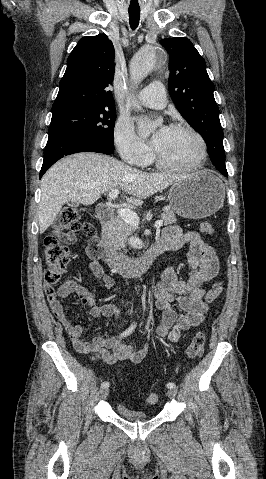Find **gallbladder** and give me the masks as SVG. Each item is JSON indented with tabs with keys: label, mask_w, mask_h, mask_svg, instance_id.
Returning a JSON list of instances; mask_svg holds the SVG:
<instances>
[{
	"label": "gallbladder",
	"mask_w": 266,
	"mask_h": 479,
	"mask_svg": "<svg viewBox=\"0 0 266 479\" xmlns=\"http://www.w3.org/2000/svg\"><path fill=\"white\" fill-rule=\"evenodd\" d=\"M67 205L72 206V207H77V206H78V203H77V202H73V201H69V202H67Z\"/></svg>",
	"instance_id": "gallbladder-1"
}]
</instances>
